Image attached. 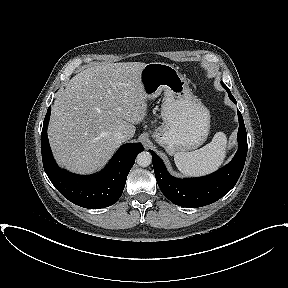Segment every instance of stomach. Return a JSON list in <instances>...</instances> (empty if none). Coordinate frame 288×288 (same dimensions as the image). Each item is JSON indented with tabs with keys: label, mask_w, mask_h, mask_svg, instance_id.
<instances>
[{
	"label": "stomach",
	"mask_w": 288,
	"mask_h": 288,
	"mask_svg": "<svg viewBox=\"0 0 288 288\" xmlns=\"http://www.w3.org/2000/svg\"><path fill=\"white\" fill-rule=\"evenodd\" d=\"M147 99L164 93L161 116L163 124L153 138L169 155L200 147L210 130V112L193 95L186 79L170 64L152 62L140 72Z\"/></svg>",
	"instance_id": "obj_1"
}]
</instances>
